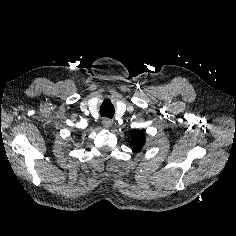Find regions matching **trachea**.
I'll return each mask as SVG.
<instances>
[{"label": "trachea", "mask_w": 236, "mask_h": 236, "mask_svg": "<svg viewBox=\"0 0 236 236\" xmlns=\"http://www.w3.org/2000/svg\"><path fill=\"white\" fill-rule=\"evenodd\" d=\"M100 114L103 117L112 118L114 115V107L110 103H103L100 108Z\"/></svg>", "instance_id": "trachea-1"}]
</instances>
